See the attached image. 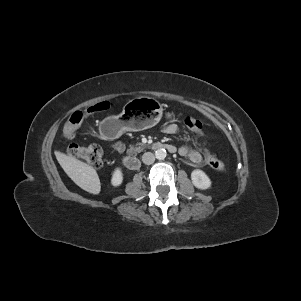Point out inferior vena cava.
Listing matches in <instances>:
<instances>
[{
	"mask_svg": "<svg viewBox=\"0 0 301 301\" xmlns=\"http://www.w3.org/2000/svg\"><path fill=\"white\" fill-rule=\"evenodd\" d=\"M142 161H143L144 164L150 165L155 161V156L151 152H146L142 156Z\"/></svg>",
	"mask_w": 301,
	"mask_h": 301,
	"instance_id": "1",
	"label": "inferior vena cava"
}]
</instances>
